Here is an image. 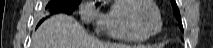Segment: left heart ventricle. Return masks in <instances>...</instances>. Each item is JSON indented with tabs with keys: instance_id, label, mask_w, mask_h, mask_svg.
<instances>
[{
	"instance_id": "1",
	"label": "left heart ventricle",
	"mask_w": 213,
	"mask_h": 48,
	"mask_svg": "<svg viewBox=\"0 0 213 48\" xmlns=\"http://www.w3.org/2000/svg\"><path fill=\"white\" fill-rule=\"evenodd\" d=\"M132 18L138 29L143 33H152L156 31L158 27L156 12L148 4H137L132 10Z\"/></svg>"
}]
</instances>
